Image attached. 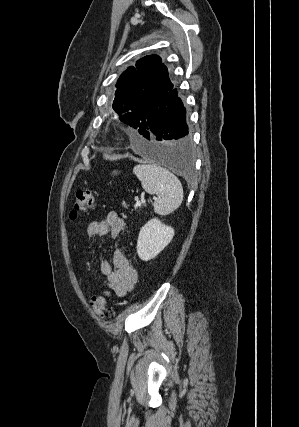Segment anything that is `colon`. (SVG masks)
Returning a JSON list of instances; mask_svg holds the SVG:
<instances>
[{"label": "colon", "mask_w": 299, "mask_h": 427, "mask_svg": "<svg viewBox=\"0 0 299 427\" xmlns=\"http://www.w3.org/2000/svg\"><path fill=\"white\" fill-rule=\"evenodd\" d=\"M95 196L90 190H79L76 193L73 208L70 212L71 220H76L79 216L88 210L94 208ZM92 309L97 317L107 321L113 317V309L108 307L107 302L102 296H95L91 299Z\"/></svg>", "instance_id": "1"}]
</instances>
